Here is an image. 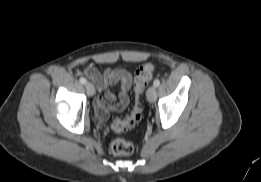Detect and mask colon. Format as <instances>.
Segmentation results:
<instances>
[{"instance_id": "colon-1", "label": "colon", "mask_w": 261, "mask_h": 182, "mask_svg": "<svg viewBox=\"0 0 261 182\" xmlns=\"http://www.w3.org/2000/svg\"><path fill=\"white\" fill-rule=\"evenodd\" d=\"M154 71L155 65L153 63H145L137 69L133 85L134 105L123 118H117L112 121L111 127L113 131L125 132L141 121L143 114L141 96ZM109 149L115 155H130L134 151V146L129 140L115 138L111 140Z\"/></svg>"}]
</instances>
